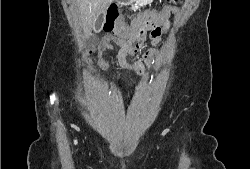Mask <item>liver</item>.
I'll return each instance as SVG.
<instances>
[{
  "label": "liver",
  "instance_id": "1",
  "mask_svg": "<svg viewBox=\"0 0 250 169\" xmlns=\"http://www.w3.org/2000/svg\"><path fill=\"white\" fill-rule=\"evenodd\" d=\"M110 2L112 0H75L84 32H90L95 24V18L106 10Z\"/></svg>",
  "mask_w": 250,
  "mask_h": 169
}]
</instances>
